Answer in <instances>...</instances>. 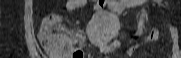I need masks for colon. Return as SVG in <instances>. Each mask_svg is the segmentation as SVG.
<instances>
[{"mask_svg":"<svg viewBox=\"0 0 181 58\" xmlns=\"http://www.w3.org/2000/svg\"><path fill=\"white\" fill-rule=\"evenodd\" d=\"M61 24L62 18L59 15L46 16L40 27L41 43L51 52L62 55L69 53L71 58H83L82 40L74 34L64 32Z\"/></svg>","mask_w":181,"mask_h":58,"instance_id":"5ec220e1","label":"colon"}]
</instances>
